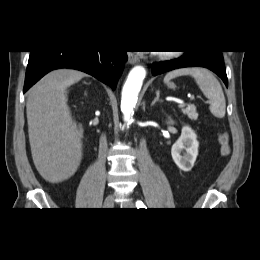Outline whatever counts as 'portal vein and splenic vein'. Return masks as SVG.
Returning <instances> with one entry per match:
<instances>
[{
  "mask_svg": "<svg viewBox=\"0 0 260 260\" xmlns=\"http://www.w3.org/2000/svg\"><path fill=\"white\" fill-rule=\"evenodd\" d=\"M182 106H184V104L183 103H179V107H182Z\"/></svg>",
  "mask_w": 260,
  "mask_h": 260,
  "instance_id": "18ae733b",
  "label": "portal vein and splenic vein"
}]
</instances>
